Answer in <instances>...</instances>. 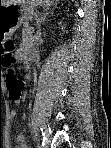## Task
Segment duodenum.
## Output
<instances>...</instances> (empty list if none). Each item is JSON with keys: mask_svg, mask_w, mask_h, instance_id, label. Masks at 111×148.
<instances>
[{"mask_svg": "<svg viewBox=\"0 0 111 148\" xmlns=\"http://www.w3.org/2000/svg\"><path fill=\"white\" fill-rule=\"evenodd\" d=\"M22 59H23V61H28V60H30L31 58L29 57V55L23 54V55H22Z\"/></svg>", "mask_w": 111, "mask_h": 148, "instance_id": "obj_1", "label": "duodenum"}]
</instances>
